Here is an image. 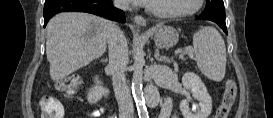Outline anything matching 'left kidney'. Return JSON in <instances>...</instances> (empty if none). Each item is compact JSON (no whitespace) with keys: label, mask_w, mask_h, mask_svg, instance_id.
<instances>
[{"label":"left kidney","mask_w":273,"mask_h":118,"mask_svg":"<svg viewBox=\"0 0 273 118\" xmlns=\"http://www.w3.org/2000/svg\"><path fill=\"white\" fill-rule=\"evenodd\" d=\"M182 84L199 101L200 110L189 108V101L182 100L180 110L184 118H208L212 110V99L198 75L187 72L182 77Z\"/></svg>","instance_id":"obj_1"}]
</instances>
